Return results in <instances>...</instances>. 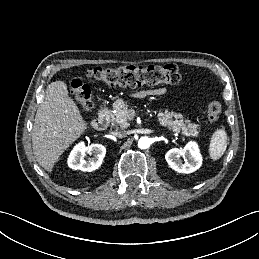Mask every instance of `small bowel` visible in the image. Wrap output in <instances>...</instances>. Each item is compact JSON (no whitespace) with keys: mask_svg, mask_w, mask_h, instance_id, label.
<instances>
[{"mask_svg":"<svg viewBox=\"0 0 259 259\" xmlns=\"http://www.w3.org/2000/svg\"><path fill=\"white\" fill-rule=\"evenodd\" d=\"M165 89L164 88H159V89H155L152 91H141L139 93L136 94L137 97L142 98L145 97L147 95H162L165 93Z\"/></svg>","mask_w":259,"mask_h":259,"instance_id":"small-bowel-1","label":"small bowel"}]
</instances>
